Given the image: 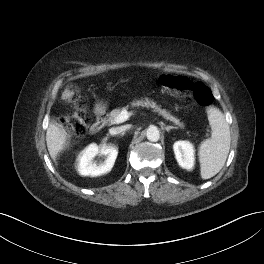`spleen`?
<instances>
[{
    "instance_id": "obj_1",
    "label": "spleen",
    "mask_w": 264,
    "mask_h": 264,
    "mask_svg": "<svg viewBox=\"0 0 264 264\" xmlns=\"http://www.w3.org/2000/svg\"><path fill=\"white\" fill-rule=\"evenodd\" d=\"M207 114L212 135L210 139L203 141L199 148L202 179L215 176L223 168L231 143L229 125L223 113L215 107H210Z\"/></svg>"
}]
</instances>
